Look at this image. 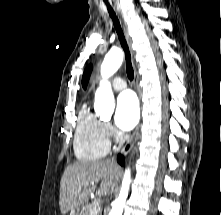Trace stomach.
<instances>
[{
    "instance_id": "obj_1",
    "label": "stomach",
    "mask_w": 221,
    "mask_h": 215,
    "mask_svg": "<svg viewBox=\"0 0 221 215\" xmlns=\"http://www.w3.org/2000/svg\"><path fill=\"white\" fill-rule=\"evenodd\" d=\"M81 214H78L77 210H72L69 215H81Z\"/></svg>"
}]
</instances>
